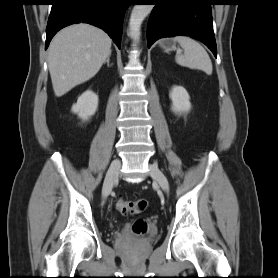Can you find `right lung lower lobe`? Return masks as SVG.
Wrapping results in <instances>:
<instances>
[{
    "label": "right lung lower lobe",
    "mask_w": 278,
    "mask_h": 278,
    "mask_svg": "<svg viewBox=\"0 0 278 278\" xmlns=\"http://www.w3.org/2000/svg\"><path fill=\"white\" fill-rule=\"evenodd\" d=\"M129 0H52L46 28L47 49L63 27L86 22L105 30L120 48L124 12Z\"/></svg>",
    "instance_id": "1"
}]
</instances>
